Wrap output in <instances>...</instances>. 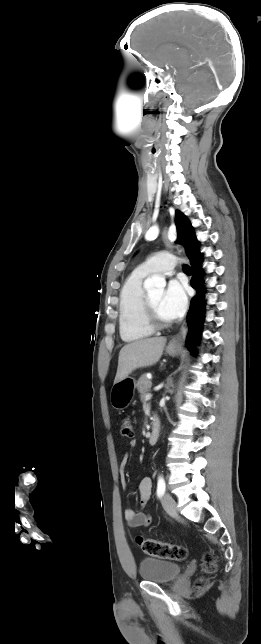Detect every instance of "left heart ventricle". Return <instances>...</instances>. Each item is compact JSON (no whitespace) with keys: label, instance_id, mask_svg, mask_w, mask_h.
<instances>
[{"label":"left heart ventricle","instance_id":"b2bd125f","mask_svg":"<svg viewBox=\"0 0 261 644\" xmlns=\"http://www.w3.org/2000/svg\"><path fill=\"white\" fill-rule=\"evenodd\" d=\"M163 294L164 292L162 289L149 292L150 299L154 305L157 315L163 320H170L162 308Z\"/></svg>","mask_w":261,"mask_h":644}]
</instances>
